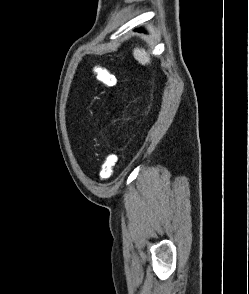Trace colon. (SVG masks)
<instances>
[{
  "instance_id": "1",
  "label": "colon",
  "mask_w": 249,
  "mask_h": 294,
  "mask_svg": "<svg viewBox=\"0 0 249 294\" xmlns=\"http://www.w3.org/2000/svg\"><path fill=\"white\" fill-rule=\"evenodd\" d=\"M94 74L97 77L98 81L107 88L113 87L117 82L116 77L109 71L96 69L94 71ZM117 160L118 157L115 154L110 155L105 159L99 174L102 180H106L112 175Z\"/></svg>"
}]
</instances>
